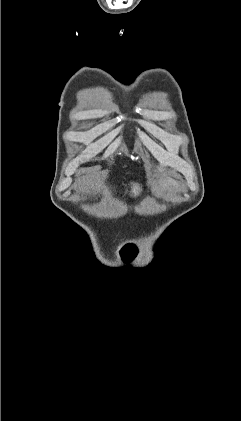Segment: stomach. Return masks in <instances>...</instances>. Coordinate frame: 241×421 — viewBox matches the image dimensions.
<instances>
[{
	"mask_svg": "<svg viewBox=\"0 0 241 421\" xmlns=\"http://www.w3.org/2000/svg\"><path fill=\"white\" fill-rule=\"evenodd\" d=\"M160 184L163 187H168V188L175 189V190H181L182 189V185H181L180 182H178L174 178L168 177V176L163 177L160 181Z\"/></svg>",
	"mask_w": 241,
	"mask_h": 421,
	"instance_id": "0dacf381",
	"label": "stomach"
}]
</instances>
